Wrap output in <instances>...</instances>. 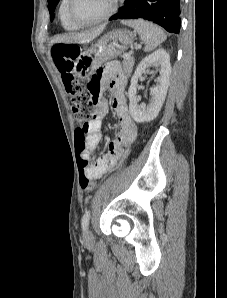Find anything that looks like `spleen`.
<instances>
[{
    "label": "spleen",
    "mask_w": 227,
    "mask_h": 298,
    "mask_svg": "<svg viewBox=\"0 0 227 298\" xmlns=\"http://www.w3.org/2000/svg\"><path fill=\"white\" fill-rule=\"evenodd\" d=\"M123 24L134 28L139 34L141 41L145 44L146 52L152 51L166 39L164 31L151 22L138 19L123 21Z\"/></svg>",
    "instance_id": "spleen-1"
}]
</instances>
